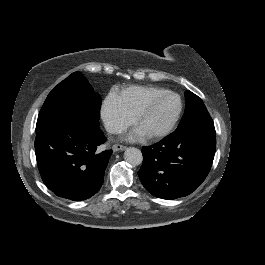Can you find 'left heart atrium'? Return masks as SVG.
<instances>
[{
    "label": "left heart atrium",
    "mask_w": 265,
    "mask_h": 265,
    "mask_svg": "<svg viewBox=\"0 0 265 265\" xmlns=\"http://www.w3.org/2000/svg\"><path fill=\"white\" fill-rule=\"evenodd\" d=\"M143 133L140 131V130H138V131H136V132H133V133H131L129 136H128V139H131V140H134V139H136V138H138L140 135H142Z\"/></svg>",
    "instance_id": "obj_1"
}]
</instances>
